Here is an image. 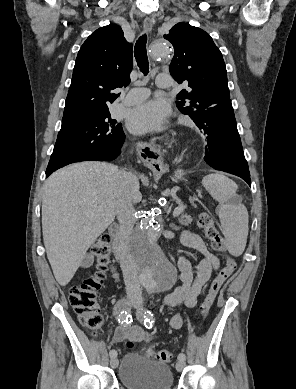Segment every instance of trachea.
<instances>
[{
	"mask_svg": "<svg viewBox=\"0 0 296 389\" xmlns=\"http://www.w3.org/2000/svg\"><path fill=\"white\" fill-rule=\"evenodd\" d=\"M147 35L144 34L137 40L134 49V56L140 71L147 75L149 72V62L146 51Z\"/></svg>",
	"mask_w": 296,
	"mask_h": 389,
	"instance_id": "obj_1",
	"label": "trachea"
}]
</instances>
